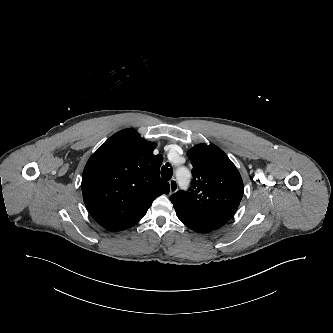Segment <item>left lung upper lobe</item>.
<instances>
[{"instance_id": "1", "label": "left lung upper lobe", "mask_w": 333, "mask_h": 333, "mask_svg": "<svg viewBox=\"0 0 333 333\" xmlns=\"http://www.w3.org/2000/svg\"><path fill=\"white\" fill-rule=\"evenodd\" d=\"M193 165V180L188 191H178L171 202L188 205H207L235 202L243 196V181L239 171L217 146L199 144L188 151Z\"/></svg>"}]
</instances>
